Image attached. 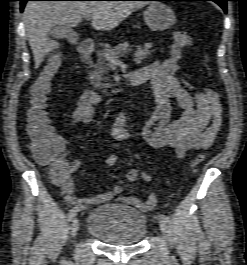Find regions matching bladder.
Instances as JSON below:
<instances>
[{
  "instance_id": "obj_1",
  "label": "bladder",
  "mask_w": 247,
  "mask_h": 265,
  "mask_svg": "<svg viewBox=\"0 0 247 265\" xmlns=\"http://www.w3.org/2000/svg\"><path fill=\"white\" fill-rule=\"evenodd\" d=\"M86 229L105 244L135 245L147 234V218L130 206L111 202L89 213Z\"/></svg>"
}]
</instances>
